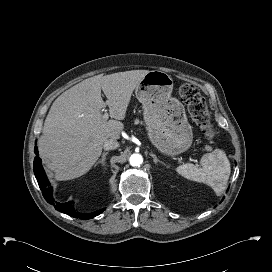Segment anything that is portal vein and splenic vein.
Instances as JSON below:
<instances>
[{"label": "portal vein and splenic vein", "mask_w": 272, "mask_h": 272, "mask_svg": "<svg viewBox=\"0 0 272 272\" xmlns=\"http://www.w3.org/2000/svg\"><path fill=\"white\" fill-rule=\"evenodd\" d=\"M108 117H109V115H108L107 111H105V113H104V115L102 116V118H103L104 120H107Z\"/></svg>", "instance_id": "18ae733b"}]
</instances>
